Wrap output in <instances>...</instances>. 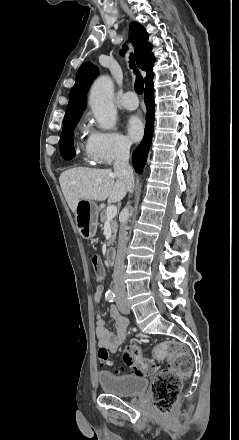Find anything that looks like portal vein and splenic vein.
<instances>
[{"label": "portal vein and splenic vein", "instance_id": "1", "mask_svg": "<svg viewBox=\"0 0 239 440\" xmlns=\"http://www.w3.org/2000/svg\"><path fill=\"white\" fill-rule=\"evenodd\" d=\"M117 214V208L116 206H108L106 216L107 220H113Z\"/></svg>", "mask_w": 239, "mask_h": 440}]
</instances>
